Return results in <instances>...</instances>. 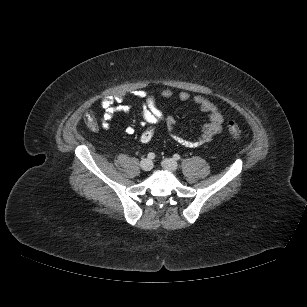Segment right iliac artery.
Returning a JSON list of instances; mask_svg holds the SVG:
<instances>
[{
  "mask_svg": "<svg viewBox=\"0 0 307 307\" xmlns=\"http://www.w3.org/2000/svg\"><path fill=\"white\" fill-rule=\"evenodd\" d=\"M147 158H148L149 160H152V159L155 158V154L152 153V152H150V153L147 155Z\"/></svg>",
  "mask_w": 307,
  "mask_h": 307,
  "instance_id": "1",
  "label": "right iliac artery"
}]
</instances>
